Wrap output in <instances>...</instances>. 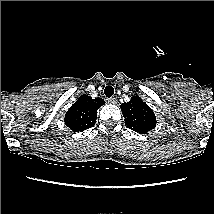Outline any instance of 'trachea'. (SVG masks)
<instances>
[{"instance_id":"obj_1","label":"trachea","mask_w":214,"mask_h":214,"mask_svg":"<svg viewBox=\"0 0 214 214\" xmlns=\"http://www.w3.org/2000/svg\"><path fill=\"white\" fill-rule=\"evenodd\" d=\"M104 94L106 97L110 98L114 94V88L112 86H106L104 89Z\"/></svg>"}]
</instances>
